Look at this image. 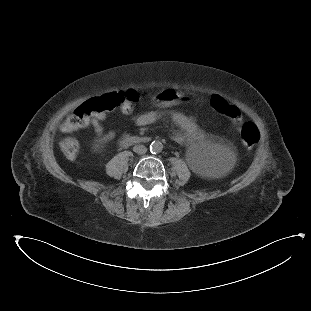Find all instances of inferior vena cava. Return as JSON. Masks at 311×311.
Returning a JSON list of instances; mask_svg holds the SVG:
<instances>
[{"label": "inferior vena cava", "instance_id": "obj_1", "mask_svg": "<svg viewBox=\"0 0 311 311\" xmlns=\"http://www.w3.org/2000/svg\"><path fill=\"white\" fill-rule=\"evenodd\" d=\"M133 151L136 154L144 155L147 152V148L144 145H136L133 147Z\"/></svg>", "mask_w": 311, "mask_h": 311}]
</instances>
